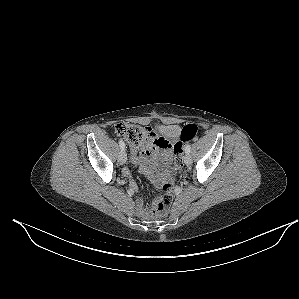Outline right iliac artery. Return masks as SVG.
<instances>
[{
  "label": "right iliac artery",
  "mask_w": 299,
  "mask_h": 299,
  "mask_svg": "<svg viewBox=\"0 0 299 299\" xmlns=\"http://www.w3.org/2000/svg\"><path fill=\"white\" fill-rule=\"evenodd\" d=\"M119 146L122 150H125V143L123 140H119Z\"/></svg>",
  "instance_id": "82829eb1"
}]
</instances>
